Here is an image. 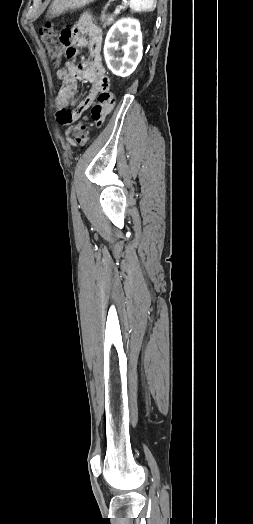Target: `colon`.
Wrapping results in <instances>:
<instances>
[{
    "mask_svg": "<svg viewBox=\"0 0 253 524\" xmlns=\"http://www.w3.org/2000/svg\"><path fill=\"white\" fill-rule=\"evenodd\" d=\"M59 32L60 30L52 24L44 25L40 28L39 31L41 41L53 64H60L63 61V51H61V44H59L58 41ZM58 120L62 123H65L68 120L67 111L60 110L58 112ZM72 137L77 145L86 144L89 138L88 127L82 122L75 123L72 127Z\"/></svg>",
    "mask_w": 253,
    "mask_h": 524,
    "instance_id": "1",
    "label": "colon"
}]
</instances>
